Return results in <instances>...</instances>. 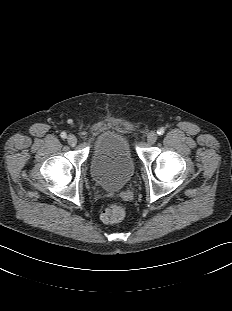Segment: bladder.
Listing matches in <instances>:
<instances>
[{"label":"bladder","mask_w":232,"mask_h":311,"mask_svg":"<svg viewBox=\"0 0 232 311\" xmlns=\"http://www.w3.org/2000/svg\"><path fill=\"white\" fill-rule=\"evenodd\" d=\"M135 164L128 140L115 131L101 134L90 158L93 180L106 190H118L132 178Z\"/></svg>","instance_id":"31cf9c89"}]
</instances>
